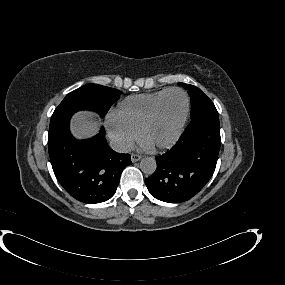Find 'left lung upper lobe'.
I'll return each mask as SVG.
<instances>
[{"mask_svg": "<svg viewBox=\"0 0 285 285\" xmlns=\"http://www.w3.org/2000/svg\"><path fill=\"white\" fill-rule=\"evenodd\" d=\"M182 87L188 90L191 100V118L196 116L202 110L214 108L213 102L196 86L179 83Z\"/></svg>", "mask_w": 285, "mask_h": 285, "instance_id": "left-lung-upper-lobe-1", "label": "left lung upper lobe"}]
</instances>
